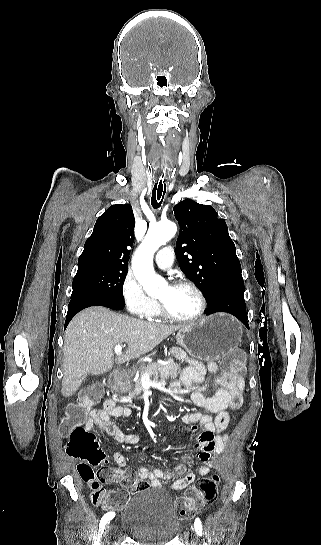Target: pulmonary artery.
Returning <instances> with one entry per match:
<instances>
[{
  "label": "pulmonary artery",
  "mask_w": 321,
  "mask_h": 545,
  "mask_svg": "<svg viewBox=\"0 0 321 545\" xmlns=\"http://www.w3.org/2000/svg\"><path fill=\"white\" fill-rule=\"evenodd\" d=\"M173 258L174 253L172 250H166V248H161L157 250L155 261L159 267L166 269L173 265Z\"/></svg>",
  "instance_id": "pulmonary-artery-1"
}]
</instances>
